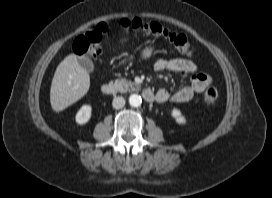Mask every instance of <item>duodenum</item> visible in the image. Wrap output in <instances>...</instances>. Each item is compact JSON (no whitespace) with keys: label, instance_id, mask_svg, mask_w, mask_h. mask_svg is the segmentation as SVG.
<instances>
[{"label":"duodenum","instance_id":"duodenum-1","mask_svg":"<svg viewBox=\"0 0 272 198\" xmlns=\"http://www.w3.org/2000/svg\"><path fill=\"white\" fill-rule=\"evenodd\" d=\"M117 91H118L117 88L113 84H110V83H105L101 87V92L104 95L112 96V95H115ZM143 97L147 102H153L155 100L154 93L149 89H145L143 91Z\"/></svg>","mask_w":272,"mask_h":198}]
</instances>
